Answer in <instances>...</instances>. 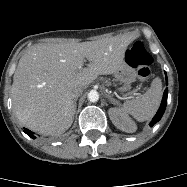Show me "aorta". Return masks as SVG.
Instances as JSON below:
<instances>
[{
  "label": "aorta",
  "mask_w": 187,
  "mask_h": 187,
  "mask_svg": "<svg viewBox=\"0 0 187 187\" xmlns=\"http://www.w3.org/2000/svg\"><path fill=\"white\" fill-rule=\"evenodd\" d=\"M88 99H89V101H91V102H97L98 99H99V94H98V92L95 91V90L90 91V92L88 93Z\"/></svg>",
  "instance_id": "1"
}]
</instances>
